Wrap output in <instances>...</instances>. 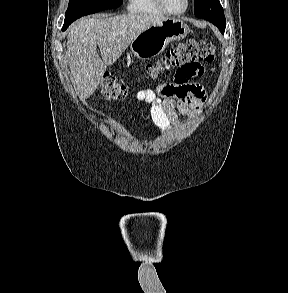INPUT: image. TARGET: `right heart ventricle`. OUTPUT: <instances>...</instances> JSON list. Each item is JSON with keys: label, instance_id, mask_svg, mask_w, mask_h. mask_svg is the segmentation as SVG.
Instances as JSON below:
<instances>
[{"label": "right heart ventricle", "instance_id": "e07e8e85", "mask_svg": "<svg viewBox=\"0 0 288 293\" xmlns=\"http://www.w3.org/2000/svg\"><path fill=\"white\" fill-rule=\"evenodd\" d=\"M127 9L138 14H164L155 0H128Z\"/></svg>", "mask_w": 288, "mask_h": 293}]
</instances>
